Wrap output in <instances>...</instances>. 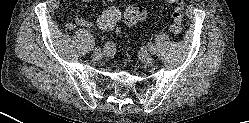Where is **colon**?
<instances>
[{
  "label": "colon",
  "instance_id": "colon-1",
  "mask_svg": "<svg viewBox=\"0 0 249 123\" xmlns=\"http://www.w3.org/2000/svg\"><path fill=\"white\" fill-rule=\"evenodd\" d=\"M174 6L172 12V23L170 29L173 34L178 35L182 31L184 0H167ZM147 17V10L139 4L128 5L123 13V19L127 24L133 25L141 23ZM121 18L120 12L114 7H108L99 17L98 25L108 31H116L117 23Z\"/></svg>",
  "mask_w": 249,
  "mask_h": 123
}]
</instances>
